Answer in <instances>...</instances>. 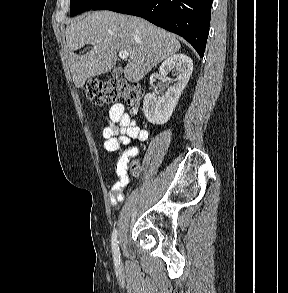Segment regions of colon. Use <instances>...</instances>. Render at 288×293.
Instances as JSON below:
<instances>
[{"label": "colon", "mask_w": 288, "mask_h": 293, "mask_svg": "<svg viewBox=\"0 0 288 293\" xmlns=\"http://www.w3.org/2000/svg\"><path fill=\"white\" fill-rule=\"evenodd\" d=\"M86 95L95 104H104L117 101H123L128 108L135 112L143 97V89L135 84H129L124 80L101 81L98 79H90L87 81ZM139 164L133 162L131 164L132 172H137Z\"/></svg>", "instance_id": "1"}]
</instances>
